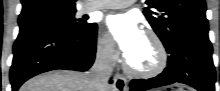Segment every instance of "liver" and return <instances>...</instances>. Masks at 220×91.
<instances>
[{"label":"liver","instance_id":"obj_1","mask_svg":"<svg viewBox=\"0 0 220 91\" xmlns=\"http://www.w3.org/2000/svg\"><path fill=\"white\" fill-rule=\"evenodd\" d=\"M19 91H93L88 72L56 70L35 76ZM106 91L111 90L110 87Z\"/></svg>","mask_w":220,"mask_h":91}]
</instances>
